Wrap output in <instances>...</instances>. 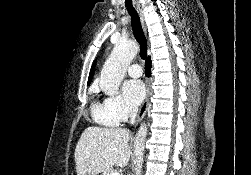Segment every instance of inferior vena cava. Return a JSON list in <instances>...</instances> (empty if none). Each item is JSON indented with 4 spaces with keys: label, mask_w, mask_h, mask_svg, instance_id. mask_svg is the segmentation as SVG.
<instances>
[{
    "label": "inferior vena cava",
    "mask_w": 251,
    "mask_h": 175,
    "mask_svg": "<svg viewBox=\"0 0 251 175\" xmlns=\"http://www.w3.org/2000/svg\"><path fill=\"white\" fill-rule=\"evenodd\" d=\"M129 115H130V123H135L137 115V107H130Z\"/></svg>",
    "instance_id": "obj_1"
}]
</instances>
